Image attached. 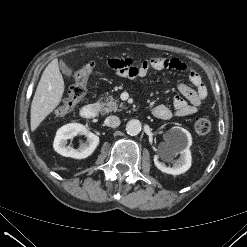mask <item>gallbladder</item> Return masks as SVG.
I'll list each match as a JSON object with an SVG mask.
<instances>
[{"mask_svg":"<svg viewBox=\"0 0 247 247\" xmlns=\"http://www.w3.org/2000/svg\"><path fill=\"white\" fill-rule=\"evenodd\" d=\"M59 68L61 69L62 73L66 76H71L72 70L61 60L59 62Z\"/></svg>","mask_w":247,"mask_h":247,"instance_id":"gallbladder-1","label":"gallbladder"}]
</instances>
